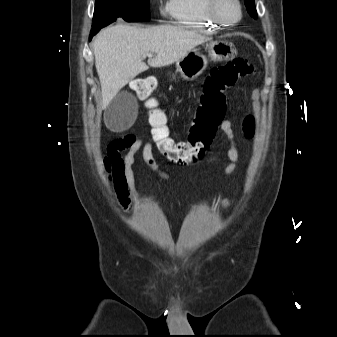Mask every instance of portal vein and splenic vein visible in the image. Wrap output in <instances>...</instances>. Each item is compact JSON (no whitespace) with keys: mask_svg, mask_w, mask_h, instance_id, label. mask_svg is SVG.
<instances>
[{"mask_svg":"<svg viewBox=\"0 0 337 337\" xmlns=\"http://www.w3.org/2000/svg\"><path fill=\"white\" fill-rule=\"evenodd\" d=\"M146 56H151V54H149V53H146V54H144V56L143 57H146Z\"/></svg>","mask_w":337,"mask_h":337,"instance_id":"obj_1","label":"portal vein and splenic vein"}]
</instances>
